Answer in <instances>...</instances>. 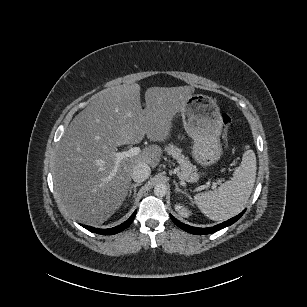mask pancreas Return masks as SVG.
<instances>
[{
    "label": "pancreas",
    "mask_w": 307,
    "mask_h": 307,
    "mask_svg": "<svg viewBox=\"0 0 307 307\" xmlns=\"http://www.w3.org/2000/svg\"><path fill=\"white\" fill-rule=\"evenodd\" d=\"M164 152L178 161L181 169L177 174L179 178L191 182L200 180L201 175L198 174V168L192 164L186 154L181 152L177 144L171 142L167 143L164 146Z\"/></svg>",
    "instance_id": "pancreas-1"
}]
</instances>
